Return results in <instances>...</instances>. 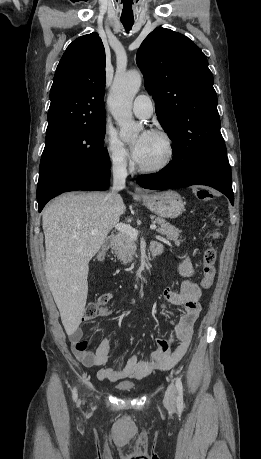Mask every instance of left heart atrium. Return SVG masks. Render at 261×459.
<instances>
[{"mask_svg": "<svg viewBox=\"0 0 261 459\" xmlns=\"http://www.w3.org/2000/svg\"><path fill=\"white\" fill-rule=\"evenodd\" d=\"M151 133L143 132L133 144V158L136 162L140 163L143 158V152L145 145L150 137Z\"/></svg>", "mask_w": 261, "mask_h": 459, "instance_id": "left-heart-atrium-1", "label": "left heart atrium"}]
</instances>
